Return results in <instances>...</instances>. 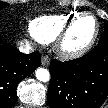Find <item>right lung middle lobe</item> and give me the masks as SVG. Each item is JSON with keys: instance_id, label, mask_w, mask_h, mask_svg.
Returning a JSON list of instances; mask_svg holds the SVG:
<instances>
[{"instance_id": "obj_1", "label": "right lung middle lobe", "mask_w": 108, "mask_h": 108, "mask_svg": "<svg viewBox=\"0 0 108 108\" xmlns=\"http://www.w3.org/2000/svg\"><path fill=\"white\" fill-rule=\"evenodd\" d=\"M7 5H9V4L6 2H0V10L3 9Z\"/></svg>"}]
</instances>
